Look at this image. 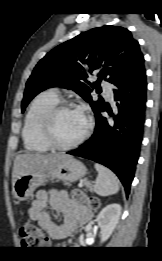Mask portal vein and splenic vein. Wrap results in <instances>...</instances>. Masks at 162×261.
<instances>
[{
	"mask_svg": "<svg viewBox=\"0 0 162 261\" xmlns=\"http://www.w3.org/2000/svg\"><path fill=\"white\" fill-rule=\"evenodd\" d=\"M83 186V181H81L80 183H79V187H82Z\"/></svg>",
	"mask_w": 162,
	"mask_h": 261,
	"instance_id": "obj_1",
	"label": "portal vein and splenic vein"
}]
</instances>
